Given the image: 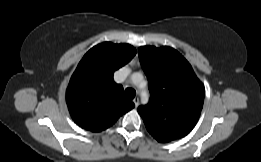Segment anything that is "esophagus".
<instances>
[{"instance_id":"obj_1","label":"esophagus","mask_w":261,"mask_h":162,"mask_svg":"<svg viewBox=\"0 0 261 162\" xmlns=\"http://www.w3.org/2000/svg\"><path fill=\"white\" fill-rule=\"evenodd\" d=\"M133 102L135 104V108H137L139 106V98L138 97L134 98Z\"/></svg>"}]
</instances>
